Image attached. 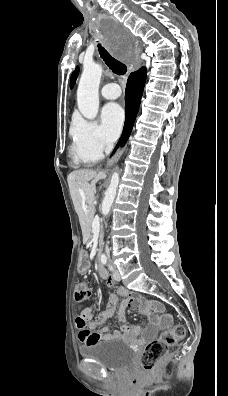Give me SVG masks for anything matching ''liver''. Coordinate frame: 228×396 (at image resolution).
Returning <instances> with one entry per match:
<instances>
[{"instance_id": "1", "label": "liver", "mask_w": 228, "mask_h": 396, "mask_svg": "<svg viewBox=\"0 0 228 396\" xmlns=\"http://www.w3.org/2000/svg\"><path fill=\"white\" fill-rule=\"evenodd\" d=\"M105 177L104 173L91 169L75 170L67 177L70 195L79 217L84 242L87 240L90 221L94 214L95 185Z\"/></svg>"}]
</instances>
